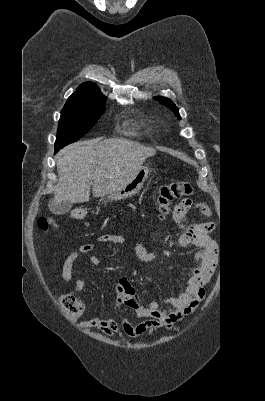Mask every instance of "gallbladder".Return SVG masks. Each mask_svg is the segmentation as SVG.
Returning a JSON list of instances; mask_svg holds the SVG:
<instances>
[{
	"mask_svg": "<svg viewBox=\"0 0 265 401\" xmlns=\"http://www.w3.org/2000/svg\"><path fill=\"white\" fill-rule=\"evenodd\" d=\"M72 205L73 203H70V201H63V203H57V205H55L53 198H51V201L48 203V207L54 215H65V213H69Z\"/></svg>",
	"mask_w": 265,
	"mask_h": 401,
	"instance_id": "gallbladder-1",
	"label": "gallbladder"
}]
</instances>
